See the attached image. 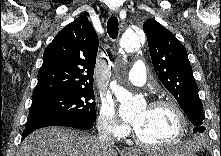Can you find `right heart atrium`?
I'll use <instances>...</instances> for the list:
<instances>
[{
	"label": "right heart atrium",
	"instance_id": "right-heart-atrium-1",
	"mask_svg": "<svg viewBox=\"0 0 221 156\" xmlns=\"http://www.w3.org/2000/svg\"><path fill=\"white\" fill-rule=\"evenodd\" d=\"M96 123L99 132L107 137L120 139L130 132V127L118 118L109 101H101Z\"/></svg>",
	"mask_w": 221,
	"mask_h": 156
}]
</instances>
